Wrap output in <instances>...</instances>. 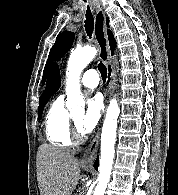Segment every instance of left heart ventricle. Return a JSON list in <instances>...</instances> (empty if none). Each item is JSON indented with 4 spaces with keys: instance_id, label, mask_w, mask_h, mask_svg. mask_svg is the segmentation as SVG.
<instances>
[{
    "instance_id": "1",
    "label": "left heart ventricle",
    "mask_w": 178,
    "mask_h": 195,
    "mask_svg": "<svg viewBox=\"0 0 178 195\" xmlns=\"http://www.w3.org/2000/svg\"><path fill=\"white\" fill-rule=\"evenodd\" d=\"M73 118H74V121L76 122L77 126L79 127V124H80L82 115L81 114H78V115H75Z\"/></svg>"
}]
</instances>
